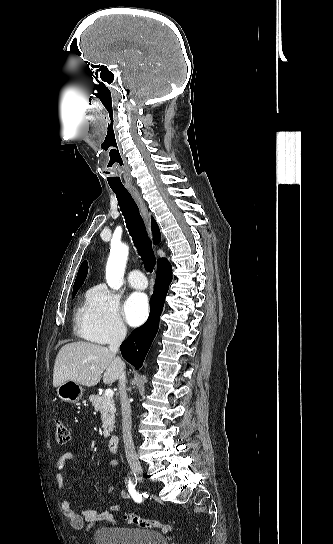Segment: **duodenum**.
Listing matches in <instances>:
<instances>
[{"label":"duodenum","mask_w":333,"mask_h":544,"mask_svg":"<svg viewBox=\"0 0 333 544\" xmlns=\"http://www.w3.org/2000/svg\"><path fill=\"white\" fill-rule=\"evenodd\" d=\"M108 449L112 453H117L119 450V437L116 435L110 436L108 440Z\"/></svg>","instance_id":"1"}]
</instances>
